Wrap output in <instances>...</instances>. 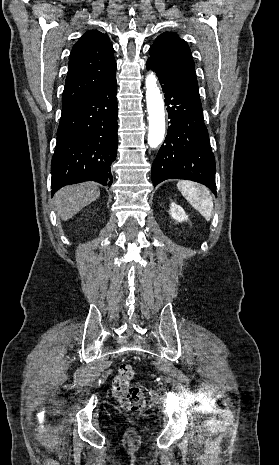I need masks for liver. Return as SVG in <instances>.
Wrapping results in <instances>:
<instances>
[{
    "label": "liver",
    "instance_id": "obj_1",
    "mask_svg": "<svg viewBox=\"0 0 279 465\" xmlns=\"http://www.w3.org/2000/svg\"><path fill=\"white\" fill-rule=\"evenodd\" d=\"M99 195V186L94 182L63 187L54 196L58 217L63 221L72 218L84 207L95 201Z\"/></svg>",
    "mask_w": 279,
    "mask_h": 465
}]
</instances>
